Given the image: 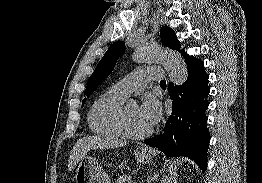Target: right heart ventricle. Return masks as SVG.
<instances>
[{
  "label": "right heart ventricle",
  "mask_w": 262,
  "mask_h": 183,
  "mask_svg": "<svg viewBox=\"0 0 262 183\" xmlns=\"http://www.w3.org/2000/svg\"><path fill=\"white\" fill-rule=\"evenodd\" d=\"M126 96L113 88L108 89L92 104L88 113V125L92 132L107 138H121L117 116Z\"/></svg>",
  "instance_id": "e07e8e85"
}]
</instances>
